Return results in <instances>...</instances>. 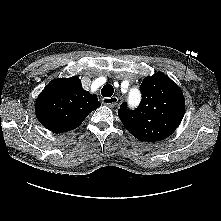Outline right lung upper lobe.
<instances>
[{"label":"right lung upper lobe","mask_w":221,"mask_h":221,"mask_svg":"<svg viewBox=\"0 0 221 221\" xmlns=\"http://www.w3.org/2000/svg\"><path fill=\"white\" fill-rule=\"evenodd\" d=\"M101 106L97 96L82 88L77 77L52 81L39 95L36 115L54 133L77 128L90 112Z\"/></svg>","instance_id":"obj_1"}]
</instances>
